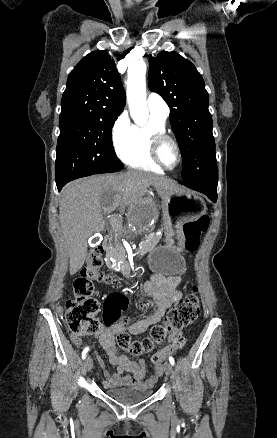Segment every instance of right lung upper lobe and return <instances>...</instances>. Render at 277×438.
<instances>
[{
    "mask_svg": "<svg viewBox=\"0 0 277 438\" xmlns=\"http://www.w3.org/2000/svg\"><path fill=\"white\" fill-rule=\"evenodd\" d=\"M126 101L115 63L106 51L85 56L70 72L60 117L117 119Z\"/></svg>",
    "mask_w": 277,
    "mask_h": 438,
    "instance_id": "cb5924a9",
    "label": "right lung upper lobe"
}]
</instances>
